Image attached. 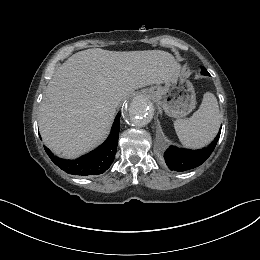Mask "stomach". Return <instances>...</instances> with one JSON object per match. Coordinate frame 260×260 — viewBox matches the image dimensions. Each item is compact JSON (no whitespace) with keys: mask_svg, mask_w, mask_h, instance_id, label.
Here are the masks:
<instances>
[{"mask_svg":"<svg viewBox=\"0 0 260 260\" xmlns=\"http://www.w3.org/2000/svg\"><path fill=\"white\" fill-rule=\"evenodd\" d=\"M148 93L151 99L173 118L185 117L196 106L194 87L181 74L172 77L164 86L151 87Z\"/></svg>","mask_w":260,"mask_h":260,"instance_id":"1","label":"stomach"}]
</instances>
